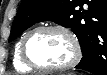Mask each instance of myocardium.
Returning a JSON list of instances; mask_svg holds the SVG:
<instances>
[{
    "label": "myocardium",
    "instance_id": "myocardium-1",
    "mask_svg": "<svg viewBox=\"0 0 107 75\" xmlns=\"http://www.w3.org/2000/svg\"><path fill=\"white\" fill-rule=\"evenodd\" d=\"M43 31H56L63 34L71 43L73 55L69 62L57 66H45L34 62L27 53V45L29 40L37 33ZM20 55L23 62L32 69L39 71H62L74 67L81 59V45L76 35L67 27L59 24H46L38 26L30 30L21 42Z\"/></svg>",
    "mask_w": 107,
    "mask_h": 75
}]
</instances>
